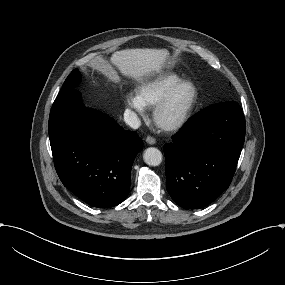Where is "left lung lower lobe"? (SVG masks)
<instances>
[{
    "instance_id": "1",
    "label": "left lung lower lobe",
    "mask_w": 285,
    "mask_h": 285,
    "mask_svg": "<svg viewBox=\"0 0 285 285\" xmlns=\"http://www.w3.org/2000/svg\"><path fill=\"white\" fill-rule=\"evenodd\" d=\"M245 130L239 104L222 102L195 114L173 136L164 153L167 190L177 205L203 208L229 187Z\"/></svg>"
}]
</instances>
